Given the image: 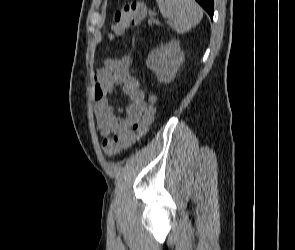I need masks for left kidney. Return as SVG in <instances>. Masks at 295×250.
Listing matches in <instances>:
<instances>
[{
  "mask_svg": "<svg viewBox=\"0 0 295 250\" xmlns=\"http://www.w3.org/2000/svg\"><path fill=\"white\" fill-rule=\"evenodd\" d=\"M185 59V54L181 50L180 42L172 40L160 49L152 51L147 57V67L163 83H170L174 80L176 73Z\"/></svg>",
  "mask_w": 295,
  "mask_h": 250,
  "instance_id": "5707ae66",
  "label": "left kidney"
}]
</instances>
